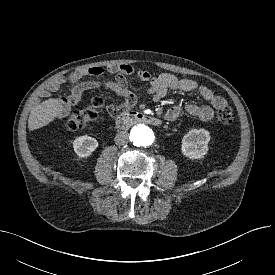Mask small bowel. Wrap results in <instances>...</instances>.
Wrapping results in <instances>:
<instances>
[{"label": "small bowel", "instance_id": "1", "mask_svg": "<svg viewBox=\"0 0 275 275\" xmlns=\"http://www.w3.org/2000/svg\"><path fill=\"white\" fill-rule=\"evenodd\" d=\"M107 73H114L117 76L113 81H82V79L87 76L99 77ZM133 74L137 75L142 81L149 83L148 92L150 93L152 100L155 102L162 99L170 90H179L185 93L198 91L199 95L209 104L200 106L195 103H189L185 106V110L189 115L198 117L202 121L211 120L216 110L227 106V101L224 97L215 94L207 86H198L193 80L180 79L175 75L168 73L152 76L148 71L135 70L130 65L79 68L66 76L55 79L51 83L49 89L55 91L65 83H71L74 85L71 94L61 102L62 109L67 110L76 106L80 102L85 90L102 85L114 92V94L121 100L120 104L109 105L106 109L110 116L116 117L135 104V96L129 90L126 80L127 76ZM180 113L181 107L174 106L166 112L165 118L172 122L179 117Z\"/></svg>", "mask_w": 275, "mask_h": 275}]
</instances>
